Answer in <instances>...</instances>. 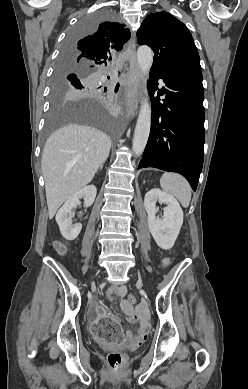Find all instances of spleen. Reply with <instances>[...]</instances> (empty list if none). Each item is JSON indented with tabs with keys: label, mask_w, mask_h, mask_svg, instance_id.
I'll list each match as a JSON object with an SVG mask.
<instances>
[{
	"label": "spleen",
	"mask_w": 248,
	"mask_h": 389,
	"mask_svg": "<svg viewBox=\"0 0 248 389\" xmlns=\"http://www.w3.org/2000/svg\"><path fill=\"white\" fill-rule=\"evenodd\" d=\"M161 188L175 196L187 208L191 200V187L188 181L177 173L165 172L160 179Z\"/></svg>",
	"instance_id": "spleen-1"
}]
</instances>
